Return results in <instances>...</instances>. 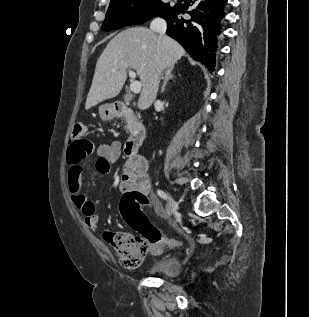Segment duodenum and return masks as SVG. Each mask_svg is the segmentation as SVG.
Returning a JSON list of instances; mask_svg holds the SVG:
<instances>
[{"instance_id": "duodenum-1", "label": "duodenum", "mask_w": 309, "mask_h": 317, "mask_svg": "<svg viewBox=\"0 0 309 317\" xmlns=\"http://www.w3.org/2000/svg\"><path fill=\"white\" fill-rule=\"evenodd\" d=\"M113 112L116 117L125 118L132 123L131 133L125 143L124 150L127 156H136L145 139V128L136 122L133 110L125 104H115Z\"/></svg>"}]
</instances>
